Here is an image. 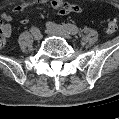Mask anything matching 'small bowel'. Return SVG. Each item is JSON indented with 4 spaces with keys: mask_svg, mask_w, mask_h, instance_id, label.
Wrapping results in <instances>:
<instances>
[{
    "mask_svg": "<svg viewBox=\"0 0 119 119\" xmlns=\"http://www.w3.org/2000/svg\"><path fill=\"white\" fill-rule=\"evenodd\" d=\"M51 5L58 9L61 14H69V13H79L81 12V7L76 4H71L63 0H52ZM29 6L28 3H22L14 7L13 11L15 13H21L23 12L27 7ZM2 19L6 22L4 24L6 28V37H9L11 34V27L9 25V22L13 20V17L9 14L4 13L2 15ZM22 24L28 23V19H22Z\"/></svg>",
    "mask_w": 119,
    "mask_h": 119,
    "instance_id": "obj_1",
    "label": "small bowel"
}]
</instances>
